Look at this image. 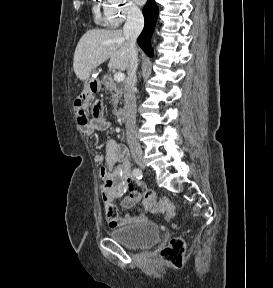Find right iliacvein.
Masks as SVG:
<instances>
[{"label": "right iliac vein", "mask_w": 273, "mask_h": 288, "mask_svg": "<svg viewBox=\"0 0 273 288\" xmlns=\"http://www.w3.org/2000/svg\"><path fill=\"white\" fill-rule=\"evenodd\" d=\"M135 162L142 169L146 168V162H145V159L143 157H136Z\"/></svg>", "instance_id": "obj_1"}]
</instances>
